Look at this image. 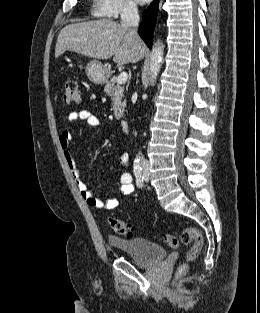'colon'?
Segmentation results:
<instances>
[{"label": "colon", "instance_id": "1", "mask_svg": "<svg viewBox=\"0 0 260 313\" xmlns=\"http://www.w3.org/2000/svg\"><path fill=\"white\" fill-rule=\"evenodd\" d=\"M81 101V92L78 84L75 81H67L64 86L63 102L66 105L78 104ZM109 223L115 233L131 237L134 233L133 227L127 222L118 218H111ZM162 240L169 244L172 248H178L182 245H188L193 242V246L188 250L185 260L179 265L176 277L180 278L184 276L190 267L191 262L196 260L200 255L204 240L201 232L196 228L185 229L180 237L165 234L162 236Z\"/></svg>", "mask_w": 260, "mask_h": 313}]
</instances>
